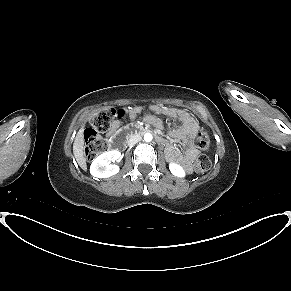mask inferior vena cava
I'll use <instances>...</instances> for the list:
<instances>
[{"label":"inferior vena cava","mask_w":291,"mask_h":291,"mask_svg":"<svg viewBox=\"0 0 291 291\" xmlns=\"http://www.w3.org/2000/svg\"><path fill=\"white\" fill-rule=\"evenodd\" d=\"M141 140L140 135H132L128 141L129 146H134L137 142Z\"/></svg>","instance_id":"obj_1"}]
</instances>
